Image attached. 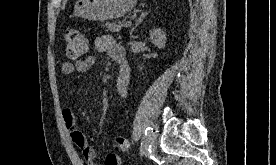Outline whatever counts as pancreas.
<instances>
[{"label": "pancreas", "instance_id": "1", "mask_svg": "<svg viewBox=\"0 0 276 165\" xmlns=\"http://www.w3.org/2000/svg\"><path fill=\"white\" fill-rule=\"evenodd\" d=\"M125 21L122 22H113V23H106L104 27H106L107 31L111 32H119L122 27L125 26Z\"/></svg>", "mask_w": 276, "mask_h": 165}]
</instances>
